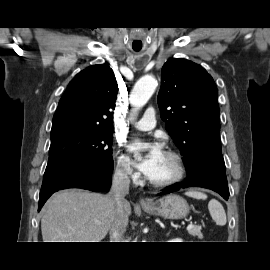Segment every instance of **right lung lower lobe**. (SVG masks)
<instances>
[{
	"mask_svg": "<svg viewBox=\"0 0 270 270\" xmlns=\"http://www.w3.org/2000/svg\"><path fill=\"white\" fill-rule=\"evenodd\" d=\"M112 171L113 168L109 170L95 168L85 157L70 159L46 168L40 190L38 211L58 190L82 188L95 192L107 191L111 185Z\"/></svg>",
	"mask_w": 270,
	"mask_h": 270,
	"instance_id": "1",
	"label": "right lung lower lobe"
}]
</instances>
